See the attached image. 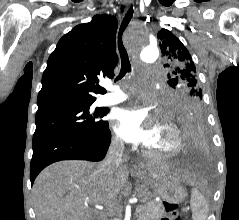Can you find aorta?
Here are the masks:
<instances>
[{
  "mask_svg": "<svg viewBox=\"0 0 239 220\" xmlns=\"http://www.w3.org/2000/svg\"><path fill=\"white\" fill-rule=\"evenodd\" d=\"M137 34L131 33L130 40H136ZM134 48H143V53H138L140 58L145 63H152L154 62L158 55V47L156 45H132Z\"/></svg>",
  "mask_w": 239,
  "mask_h": 220,
  "instance_id": "1",
  "label": "aorta"
}]
</instances>
